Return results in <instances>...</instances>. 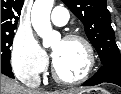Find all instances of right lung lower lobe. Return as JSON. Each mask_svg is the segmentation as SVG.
I'll list each match as a JSON object with an SVG mask.
<instances>
[{
	"instance_id": "obj_1",
	"label": "right lung lower lobe",
	"mask_w": 121,
	"mask_h": 94,
	"mask_svg": "<svg viewBox=\"0 0 121 94\" xmlns=\"http://www.w3.org/2000/svg\"><path fill=\"white\" fill-rule=\"evenodd\" d=\"M1 73L10 78H14L10 63H1Z\"/></svg>"
}]
</instances>
